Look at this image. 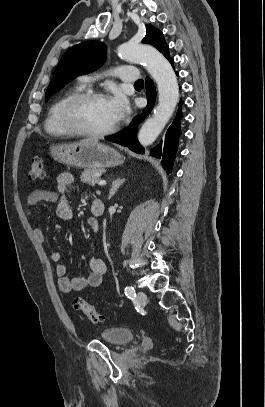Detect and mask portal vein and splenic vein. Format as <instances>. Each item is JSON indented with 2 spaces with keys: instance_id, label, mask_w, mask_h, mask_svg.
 Returning a JSON list of instances; mask_svg holds the SVG:
<instances>
[{
  "instance_id": "1",
  "label": "portal vein and splenic vein",
  "mask_w": 265,
  "mask_h": 407,
  "mask_svg": "<svg viewBox=\"0 0 265 407\" xmlns=\"http://www.w3.org/2000/svg\"><path fill=\"white\" fill-rule=\"evenodd\" d=\"M98 185H99V186L106 185V181H105V180H99V181H98Z\"/></svg>"
}]
</instances>
